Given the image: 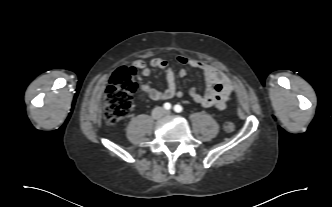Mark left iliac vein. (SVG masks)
<instances>
[{"mask_svg": "<svg viewBox=\"0 0 332 207\" xmlns=\"http://www.w3.org/2000/svg\"><path fill=\"white\" fill-rule=\"evenodd\" d=\"M166 114H170V112H169V111H167V112H166Z\"/></svg>", "mask_w": 332, "mask_h": 207, "instance_id": "left-iliac-vein-1", "label": "left iliac vein"}]
</instances>
